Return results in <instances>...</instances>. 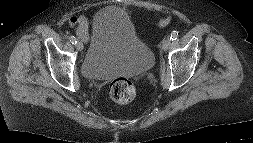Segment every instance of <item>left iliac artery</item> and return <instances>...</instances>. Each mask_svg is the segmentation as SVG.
<instances>
[{
  "instance_id": "44dca946",
  "label": "left iliac artery",
  "mask_w": 253,
  "mask_h": 143,
  "mask_svg": "<svg viewBox=\"0 0 253 143\" xmlns=\"http://www.w3.org/2000/svg\"><path fill=\"white\" fill-rule=\"evenodd\" d=\"M178 37V32L177 31H173L170 35V40L174 41L176 40Z\"/></svg>"
}]
</instances>
